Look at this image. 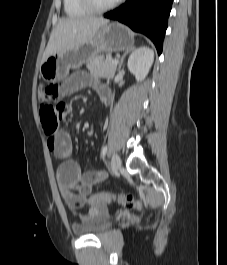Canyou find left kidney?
Here are the masks:
<instances>
[{
    "label": "left kidney",
    "instance_id": "1",
    "mask_svg": "<svg viewBox=\"0 0 227 265\" xmlns=\"http://www.w3.org/2000/svg\"><path fill=\"white\" fill-rule=\"evenodd\" d=\"M154 61V52L147 46L134 50L128 59V69L135 76L136 80L142 81L148 75Z\"/></svg>",
    "mask_w": 227,
    "mask_h": 265
}]
</instances>
